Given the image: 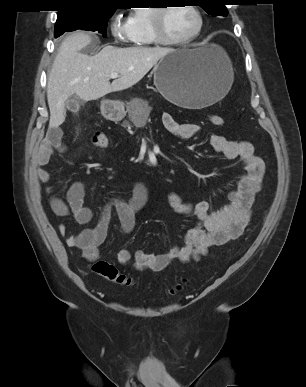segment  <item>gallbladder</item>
<instances>
[{
	"label": "gallbladder",
	"mask_w": 306,
	"mask_h": 387,
	"mask_svg": "<svg viewBox=\"0 0 306 387\" xmlns=\"http://www.w3.org/2000/svg\"><path fill=\"white\" fill-rule=\"evenodd\" d=\"M83 101L78 96H71L67 99L65 106L72 112H76L79 108V105L82 104Z\"/></svg>",
	"instance_id": "bac80fb5"
}]
</instances>
